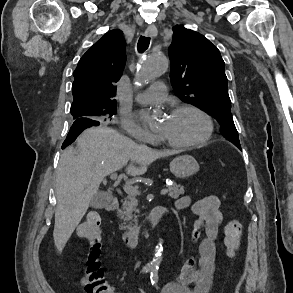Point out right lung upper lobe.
Wrapping results in <instances>:
<instances>
[{
  "label": "right lung upper lobe",
  "instance_id": "obj_1",
  "mask_svg": "<svg viewBox=\"0 0 293 293\" xmlns=\"http://www.w3.org/2000/svg\"><path fill=\"white\" fill-rule=\"evenodd\" d=\"M125 45L122 32L111 30L82 56L73 73L71 110L87 111L116 104L115 83L125 65Z\"/></svg>",
  "mask_w": 293,
  "mask_h": 293
}]
</instances>
